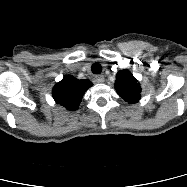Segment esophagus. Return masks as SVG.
<instances>
[{"instance_id":"esophagus-1","label":"esophagus","mask_w":187,"mask_h":187,"mask_svg":"<svg viewBox=\"0 0 187 187\" xmlns=\"http://www.w3.org/2000/svg\"><path fill=\"white\" fill-rule=\"evenodd\" d=\"M95 81L97 83H103L105 81V78H104L103 75H98V76L95 77Z\"/></svg>"}]
</instances>
